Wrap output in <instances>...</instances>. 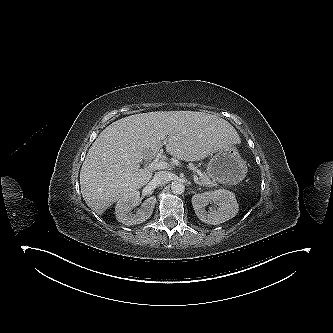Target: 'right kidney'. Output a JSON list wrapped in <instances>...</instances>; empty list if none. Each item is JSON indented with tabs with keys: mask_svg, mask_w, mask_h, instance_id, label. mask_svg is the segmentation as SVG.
Instances as JSON below:
<instances>
[{
	"mask_svg": "<svg viewBox=\"0 0 333 333\" xmlns=\"http://www.w3.org/2000/svg\"><path fill=\"white\" fill-rule=\"evenodd\" d=\"M139 198L140 193L138 191H131L118 200L115 207L118 222L131 226L143 223L151 217L156 203V198L153 196L145 200L142 207L135 214L131 213V210L136 207Z\"/></svg>",
	"mask_w": 333,
	"mask_h": 333,
	"instance_id": "1",
	"label": "right kidney"
}]
</instances>
